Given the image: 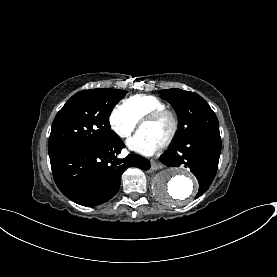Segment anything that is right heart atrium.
Listing matches in <instances>:
<instances>
[{
  "mask_svg": "<svg viewBox=\"0 0 277 277\" xmlns=\"http://www.w3.org/2000/svg\"><path fill=\"white\" fill-rule=\"evenodd\" d=\"M137 122L124 106H117L110 116L112 129L122 139H126L132 135L137 126Z\"/></svg>",
  "mask_w": 277,
  "mask_h": 277,
  "instance_id": "d8ad5b80",
  "label": "right heart atrium"
}]
</instances>
